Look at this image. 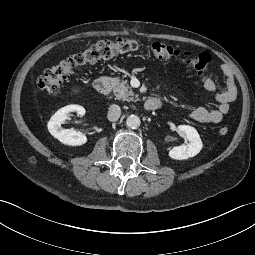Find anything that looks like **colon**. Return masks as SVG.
<instances>
[{
  "label": "colon",
  "mask_w": 255,
  "mask_h": 255,
  "mask_svg": "<svg viewBox=\"0 0 255 255\" xmlns=\"http://www.w3.org/2000/svg\"><path fill=\"white\" fill-rule=\"evenodd\" d=\"M146 50L154 58L164 61H181L192 65L197 72L198 78L205 74L211 64V56L207 53L194 55L189 52H180L170 45L161 42H153L145 46L131 38L116 41L103 40L94 43L85 50L76 53L46 69L38 79L41 90L56 94L63 82L79 67L93 64L100 60L110 59L118 54ZM221 135L228 133V128L223 126L219 129Z\"/></svg>",
  "instance_id": "1"
}]
</instances>
